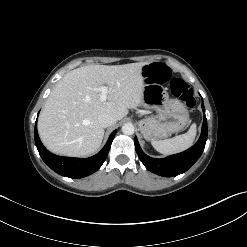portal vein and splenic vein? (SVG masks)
Returning a JSON list of instances; mask_svg holds the SVG:
<instances>
[{
	"instance_id": "18ae733b",
	"label": "portal vein and splenic vein",
	"mask_w": 247,
	"mask_h": 247,
	"mask_svg": "<svg viewBox=\"0 0 247 247\" xmlns=\"http://www.w3.org/2000/svg\"><path fill=\"white\" fill-rule=\"evenodd\" d=\"M101 95H100V100L102 102H105L107 100V87L106 86H101L100 87Z\"/></svg>"
}]
</instances>
